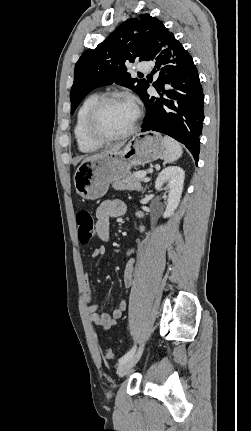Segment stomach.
I'll use <instances>...</instances> for the list:
<instances>
[{
	"label": "stomach",
	"mask_w": 251,
	"mask_h": 431,
	"mask_svg": "<svg viewBox=\"0 0 251 431\" xmlns=\"http://www.w3.org/2000/svg\"><path fill=\"white\" fill-rule=\"evenodd\" d=\"M164 148L161 135L137 134L118 151L82 162L74 174L76 192L86 200L101 198L110 183L127 176L132 167L159 159Z\"/></svg>",
	"instance_id": "obj_1"
}]
</instances>
